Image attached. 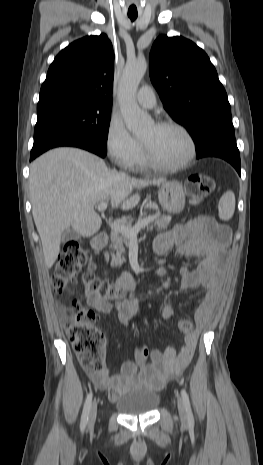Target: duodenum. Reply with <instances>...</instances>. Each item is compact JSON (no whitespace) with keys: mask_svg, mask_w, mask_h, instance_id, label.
Returning a JSON list of instances; mask_svg holds the SVG:
<instances>
[{"mask_svg":"<svg viewBox=\"0 0 263 465\" xmlns=\"http://www.w3.org/2000/svg\"><path fill=\"white\" fill-rule=\"evenodd\" d=\"M108 242V236L106 234H98L92 240V247L95 250H102Z\"/></svg>","mask_w":263,"mask_h":465,"instance_id":"410a0bca","label":"duodenum"}]
</instances>
